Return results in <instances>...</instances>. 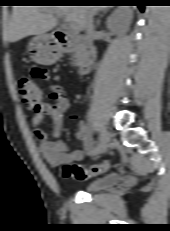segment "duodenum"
<instances>
[{
  "label": "duodenum",
  "mask_w": 170,
  "mask_h": 231,
  "mask_svg": "<svg viewBox=\"0 0 170 231\" xmlns=\"http://www.w3.org/2000/svg\"><path fill=\"white\" fill-rule=\"evenodd\" d=\"M54 38L59 48L63 51H77L76 66L81 75L89 73L91 67L97 61L96 50L90 42L83 38L74 37L68 32L58 30Z\"/></svg>",
  "instance_id": "obj_1"
}]
</instances>
